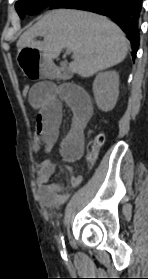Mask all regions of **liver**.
Instances as JSON below:
<instances>
[{"instance_id": "1", "label": "liver", "mask_w": 148, "mask_h": 279, "mask_svg": "<svg viewBox=\"0 0 148 279\" xmlns=\"http://www.w3.org/2000/svg\"><path fill=\"white\" fill-rule=\"evenodd\" d=\"M38 36L43 37V41H36ZM17 47L20 50L37 49L51 62L63 48H70L74 54L70 69L82 77H90L122 62L129 42L123 31L104 16L80 10L55 9L24 32L17 41Z\"/></svg>"}]
</instances>
